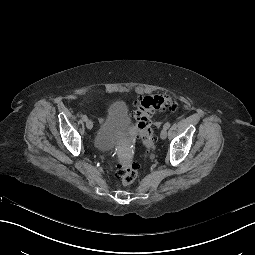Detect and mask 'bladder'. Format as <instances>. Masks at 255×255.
<instances>
[{
	"mask_svg": "<svg viewBox=\"0 0 255 255\" xmlns=\"http://www.w3.org/2000/svg\"><path fill=\"white\" fill-rule=\"evenodd\" d=\"M120 118L124 119V123L127 126V133H118L114 129V124ZM129 116L127 112V107L124 101H115L109 104L106 111V120L100 129V133L95 140V148H102L108 150L112 148L115 144L122 141L132 139L131 126L129 124ZM126 135V136H125Z\"/></svg>",
	"mask_w": 255,
	"mask_h": 255,
	"instance_id": "bladder-1",
	"label": "bladder"
}]
</instances>
